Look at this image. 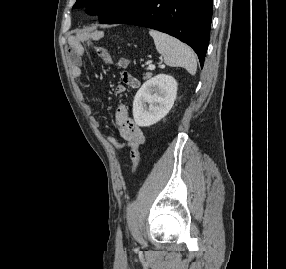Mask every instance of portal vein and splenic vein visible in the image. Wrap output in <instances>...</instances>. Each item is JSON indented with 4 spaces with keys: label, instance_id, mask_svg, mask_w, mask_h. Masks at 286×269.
<instances>
[{
    "label": "portal vein and splenic vein",
    "instance_id": "portal-vein-and-splenic-vein-1",
    "mask_svg": "<svg viewBox=\"0 0 286 269\" xmlns=\"http://www.w3.org/2000/svg\"><path fill=\"white\" fill-rule=\"evenodd\" d=\"M148 69L154 70L155 69V65L154 64H149Z\"/></svg>",
    "mask_w": 286,
    "mask_h": 269
}]
</instances>
